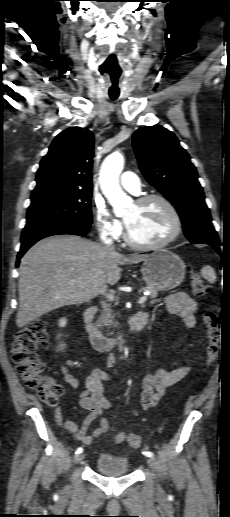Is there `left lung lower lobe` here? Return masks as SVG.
Returning <instances> with one entry per match:
<instances>
[{
	"label": "left lung lower lobe",
	"mask_w": 230,
	"mask_h": 517,
	"mask_svg": "<svg viewBox=\"0 0 230 517\" xmlns=\"http://www.w3.org/2000/svg\"><path fill=\"white\" fill-rule=\"evenodd\" d=\"M199 243H204V244H208L210 245L211 247H213L218 254H220V248H219V240H204V241H201ZM193 244H197V243H193Z\"/></svg>",
	"instance_id": "0a47b994"
}]
</instances>
